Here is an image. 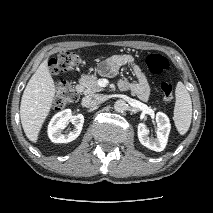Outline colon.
Listing matches in <instances>:
<instances>
[{"label": "colon", "instance_id": "obj_1", "mask_svg": "<svg viewBox=\"0 0 213 213\" xmlns=\"http://www.w3.org/2000/svg\"><path fill=\"white\" fill-rule=\"evenodd\" d=\"M81 57L69 51L59 53L51 59L50 69L54 74L72 72L81 65ZM146 65L148 70L155 75L164 74L167 72L169 63L168 60L159 54H150L146 58ZM160 91L165 100H171L173 97V86L169 82H162ZM78 99V92L69 83L61 81L56 86V95L54 105L57 108H64Z\"/></svg>", "mask_w": 213, "mask_h": 213}]
</instances>
